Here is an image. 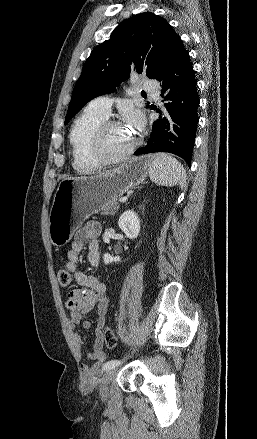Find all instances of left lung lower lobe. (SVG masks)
<instances>
[{
  "mask_svg": "<svg viewBox=\"0 0 257 439\" xmlns=\"http://www.w3.org/2000/svg\"><path fill=\"white\" fill-rule=\"evenodd\" d=\"M164 111L152 125L145 147L134 155L169 152L183 158L190 166L198 124L199 97L194 70L183 43L178 38L172 55L159 77ZM154 109L153 107H151Z\"/></svg>",
  "mask_w": 257,
  "mask_h": 439,
  "instance_id": "left-lung-lower-lobe-1",
  "label": "left lung lower lobe"
}]
</instances>
